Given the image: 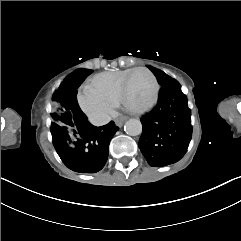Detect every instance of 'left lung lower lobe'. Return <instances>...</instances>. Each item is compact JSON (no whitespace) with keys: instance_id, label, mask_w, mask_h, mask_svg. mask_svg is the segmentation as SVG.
Here are the masks:
<instances>
[{"instance_id":"obj_1","label":"left lung lower lobe","mask_w":241,"mask_h":241,"mask_svg":"<svg viewBox=\"0 0 241 241\" xmlns=\"http://www.w3.org/2000/svg\"><path fill=\"white\" fill-rule=\"evenodd\" d=\"M190 116L180 84L162 86L156 107L141 119L139 148L149 165L166 166L184 156L192 135Z\"/></svg>"}]
</instances>
